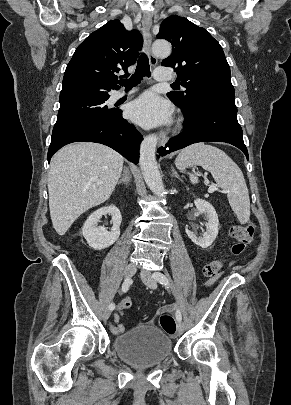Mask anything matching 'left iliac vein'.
I'll use <instances>...</instances> for the list:
<instances>
[{
  "label": "left iliac vein",
  "instance_id": "left-iliac-vein-1",
  "mask_svg": "<svg viewBox=\"0 0 291 405\" xmlns=\"http://www.w3.org/2000/svg\"><path fill=\"white\" fill-rule=\"evenodd\" d=\"M141 279L144 282V284L149 288L151 289L157 288L156 279L153 277V274L149 270L141 271ZM177 331L178 334H182L184 332V324L182 323V321H178Z\"/></svg>",
  "mask_w": 291,
  "mask_h": 405
}]
</instances>
